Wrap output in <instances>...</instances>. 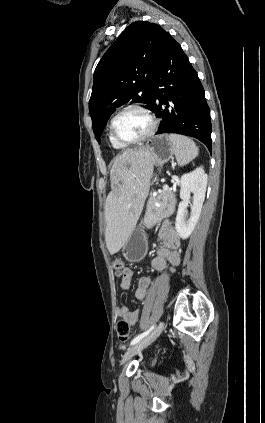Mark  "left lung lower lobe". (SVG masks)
<instances>
[{
	"label": "left lung lower lobe",
	"instance_id": "0a47b994",
	"mask_svg": "<svg viewBox=\"0 0 265 423\" xmlns=\"http://www.w3.org/2000/svg\"><path fill=\"white\" fill-rule=\"evenodd\" d=\"M151 95L150 110L162 118L156 134L191 136L211 152L212 126L203 86L180 44L169 33L153 76Z\"/></svg>",
	"mask_w": 265,
	"mask_h": 423
}]
</instances>
